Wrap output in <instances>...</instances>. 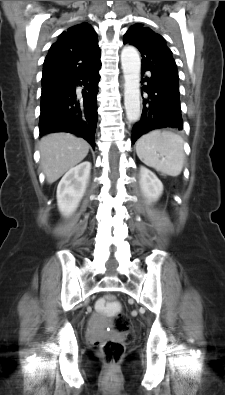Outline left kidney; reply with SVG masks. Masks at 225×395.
I'll list each match as a JSON object with an SVG mask.
<instances>
[{
    "mask_svg": "<svg viewBox=\"0 0 225 395\" xmlns=\"http://www.w3.org/2000/svg\"><path fill=\"white\" fill-rule=\"evenodd\" d=\"M140 186L151 202L157 201L163 192V184L158 177L149 169L140 167Z\"/></svg>",
    "mask_w": 225,
    "mask_h": 395,
    "instance_id": "left-kidney-1",
    "label": "left kidney"
}]
</instances>
